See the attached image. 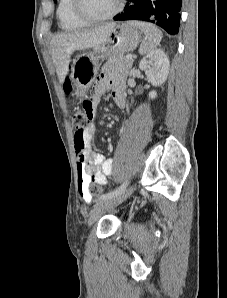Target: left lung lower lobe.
Returning a JSON list of instances; mask_svg holds the SVG:
<instances>
[{
	"label": "left lung lower lobe",
	"mask_w": 227,
	"mask_h": 298,
	"mask_svg": "<svg viewBox=\"0 0 227 298\" xmlns=\"http://www.w3.org/2000/svg\"><path fill=\"white\" fill-rule=\"evenodd\" d=\"M115 21L142 20L162 27L171 35L179 31L181 0H127Z\"/></svg>",
	"instance_id": "0a47b994"
}]
</instances>
